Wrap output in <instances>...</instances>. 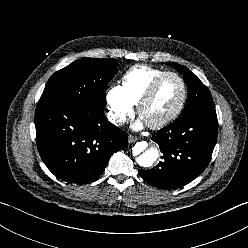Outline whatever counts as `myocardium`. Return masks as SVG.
Returning a JSON list of instances; mask_svg holds the SVG:
<instances>
[{
    "label": "myocardium",
    "instance_id": "1",
    "mask_svg": "<svg viewBox=\"0 0 248 248\" xmlns=\"http://www.w3.org/2000/svg\"><path fill=\"white\" fill-rule=\"evenodd\" d=\"M168 76H174L180 81L181 86H182L181 100H180L178 106L176 107V109L173 112H171L170 114H168L167 116H165L162 119L155 121V122H150V123L146 122L147 125L152 129H161V128L165 127L166 125H168L169 123H171L172 121H174L183 111L185 104H186V101H187L188 89H187V85H186V82L183 79V77L176 72L166 71V72L162 73L161 75H159L158 77H156L152 81V83L150 84V86L148 87V89L146 90L144 95L142 96L141 100L138 103L139 116L142 118L143 111H144L145 107L149 104V102L154 97L160 83Z\"/></svg>",
    "mask_w": 248,
    "mask_h": 248
}]
</instances>
